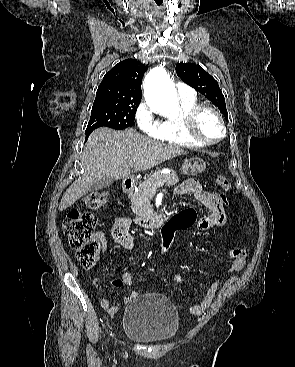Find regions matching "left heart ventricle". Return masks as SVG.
<instances>
[{"label":"left heart ventricle","mask_w":295,"mask_h":367,"mask_svg":"<svg viewBox=\"0 0 295 367\" xmlns=\"http://www.w3.org/2000/svg\"><path fill=\"white\" fill-rule=\"evenodd\" d=\"M198 130L200 135L208 140L216 139L222 133L219 121L211 112L208 111L201 114L198 123Z\"/></svg>","instance_id":"obj_1"}]
</instances>
